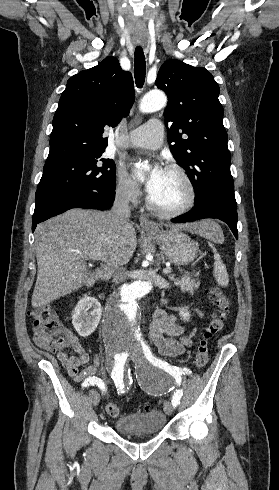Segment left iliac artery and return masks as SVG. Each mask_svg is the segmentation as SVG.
Listing matches in <instances>:
<instances>
[{
  "label": "left iliac artery",
  "mask_w": 279,
  "mask_h": 490,
  "mask_svg": "<svg viewBox=\"0 0 279 490\" xmlns=\"http://www.w3.org/2000/svg\"><path fill=\"white\" fill-rule=\"evenodd\" d=\"M142 347H143V351H144V354L146 356V358L151 362L153 363L154 365L164 369L166 372H168L169 374L173 375L174 377H177L178 375H182L187 373V374H190L191 371L187 368H184L183 370H180L178 367L176 366H171L169 365L167 362L165 361H162L160 359H157L156 357H154L150 351V348L146 345H144V343L142 344ZM183 393H182V390H176V392H174V395L172 397V405L173 407H177V405L180 403V399L182 397Z\"/></svg>",
  "instance_id": "44dca946"
}]
</instances>
